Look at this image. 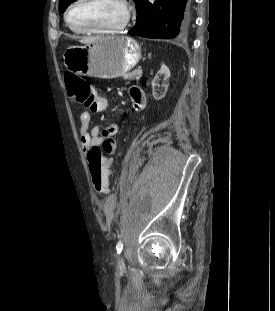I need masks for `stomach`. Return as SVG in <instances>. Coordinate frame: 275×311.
<instances>
[{
	"instance_id": "stomach-1",
	"label": "stomach",
	"mask_w": 275,
	"mask_h": 311,
	"mask_svg": "<svg viewBox=\"0 0 275 311\" xmlns=\"http://www.w3.org/2000/svg\"><path fill=\"white\" fill-rule=\"evenodd\" d=\"M140 59V46L128 37H98L85 46H69L63 54L69 72L103 79L124 75Z\"/></svg>"
}]
</instances>
